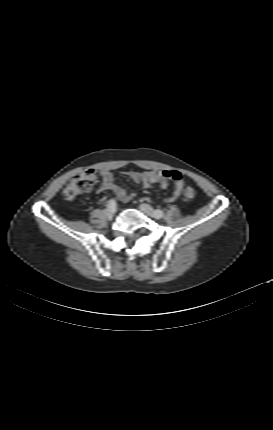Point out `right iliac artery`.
Masks as SVG:
<instances>
[{"mask_svg": "<svg viewBox=\"0 0 273 430\" xmlns=\"http://www.w3.org/2000/svg\"><path fill=\"white\" fill-rule=\"evenodd\" d=\"M107 207H108V209H116V201L114 200V199H110L108 202H107Z\"/></svg>", "mask_w": 273, "mask_h": 430, "instance_id": "82829eb1", "label": "right iliac artery"}]
</instances>
